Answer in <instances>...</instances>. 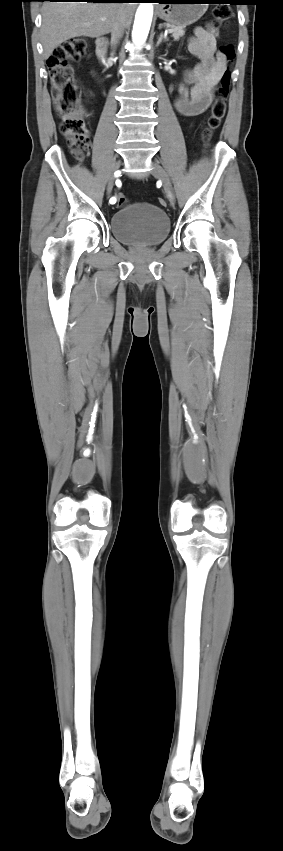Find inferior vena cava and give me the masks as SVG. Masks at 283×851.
<instances>
[{
    "label": "inferior vena cava",
    "instance_id": "obj_1",
    "mask_svg": "<svg viewBox=\"0 0 283 851\" xmlns=\"http://www.w3.org/2000/svg\"><path fill=\"white\" fill-rule=\"evenodd\" d=\"M124 29V17L121 15L120 18L114 23L111 30V45L113 48L117 46L120 39L122 38Z\"/></svg>",
    "mask_w": 283,
    "mask_h": 851
}]
</instances>
